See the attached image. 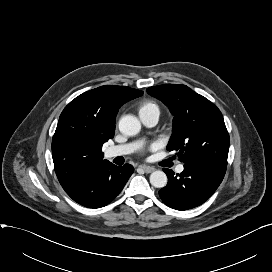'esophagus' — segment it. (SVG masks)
Instances as JSON below:
<instances>
[{"mask_svg":"<svg viewBox=\"0 0 272 272\" xmlns=\"http://www.w3.org/2000/svg\"><path fill=\"white\" fill-rule=\"evenodd\" d=\"M139 168L142 169L145 173H151L155 170L154 167L147 166V165H140Z\"/></svg>","mask_w":272,"mask_h":272,"instance_id":"34e87169","label":"esophagus"}]
</instances>
